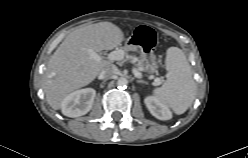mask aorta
Here are the masks:
<instances>
[{"instance_id":"aorta-1","label":"aorta","mask_w":248,"mask_h":158,"mask_svg":"<svg viewBox=\"0 0 248 158\" xmlns=\"http://www.w3.org/2000/svg\"><path fill=\"white\" fill-rule=\"evenodd\" d=\"M128 84V80L125 78V77H120L118 80H117V85L119 87H124Z\"/></svg>"}]
</instances>
